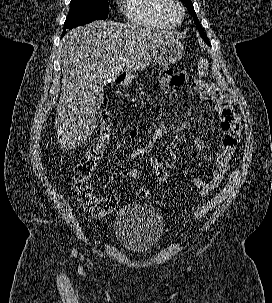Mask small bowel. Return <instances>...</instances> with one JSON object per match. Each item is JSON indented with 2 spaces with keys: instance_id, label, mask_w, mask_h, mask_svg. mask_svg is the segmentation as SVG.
<instances>
[{
  "instance_id": "small-bowel-1",
  "label": "small bowel",
  "mask_w": 272,
  "mask_h": 303,
  "mask_svg": "<svg viewBox=\"0 0 272 303\" xmlns=\"http://www.w3.org/2000/svg\"><path fill=\"white\" fill-rule=\"evenodd\" d=\"M160 81L163 85L169 87H178L187 85L193 90L199 92L200 97L204 100H215V110L220 118L221 150L215 158V168L209 181L196 177L193 184L201 195H208L211 191L218 188L224 179L228 165L239 143L241 135V123L233 108L231 99L224 95L220 88L210 82L199 80L184 73L175 72L173 70H164L160 75ZM133 136V134H131ZM193 146L196 150H203L205 142L202 139H195ZM203 159L212 161L213 156L208 153L203 154ZM132 177L137 176V171L131 173Z\"/></svg>"
}]
</instances>
